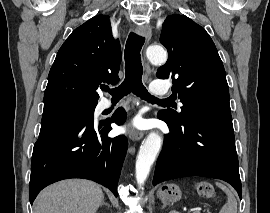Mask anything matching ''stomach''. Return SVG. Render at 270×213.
I'll use <instances>...</instances> for the list:
<instances>
[{
	"mask_svg": "<svg viewBox=\"0 0 270 213\" xmlns=\"http://www.w3.org/2000/svg\"><path fill=\"white\" fill-rule=\"evenodd\" d=\"M158 198L164 203H174L181 198V190L176 184H166L158 190Z\"/></svg>",
	"mask_w": 270,
	"mask_h": 213,
	"instance_id": "stomach-1",
	"label": "stomach"
}]
</instances>
